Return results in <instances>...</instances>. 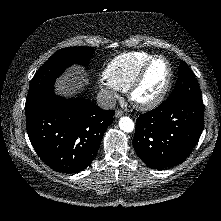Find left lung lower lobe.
Returning a JSON list of instances; mask_svg holds the SVG:
<instances>
[{
  "label": "left lung lower lobe",
  "mask_w": 221,
  "mask_h": 221,
  "mask_svg": "<svg viewBox=\"0 0 221 221\" xmlns=\"http://www.w3.org/2000/svg\"><path fill=\"white\" fill-rule=\"evenodd\" d=\"M203 101L167 99L136 120L134 149L153 169L182 163L199 140L204 125Z\"/></svg>",
  "instance_id": "obj_1"
}]
</instances>
